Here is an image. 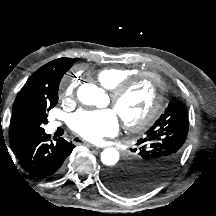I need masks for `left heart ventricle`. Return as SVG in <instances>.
Returning <instances> with one entry per match:
<instances>
[{"mask_svg": "<svg viewBox=\"0 0 216 216\" xmlns=\"http://www.w3.org/2000/svg\"><path fill=\"white\" fill-rule=\"evenodd\" d=\"M156 94V86L149 78H144L133 86L114 107L116 113L129 121L142 118L148 112Z\"/></svg>", "mask_w": 216, "mask_h": 216, "instance_id": "1", "label": "left heart ventricle"}]
</instances>
